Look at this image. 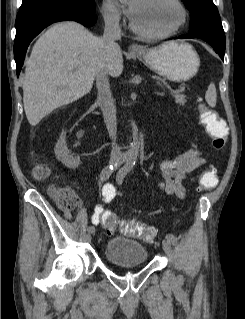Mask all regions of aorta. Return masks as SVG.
<instances>
[{"label":"aorta","instance_id":"762f6f07","mask_svg":"<svg viewBox=\"0 0 245 319\" xmlns=\"http://www.w3.org/2000/svg\"><path fill=\"white\" fill-rule=\"evenodd\" d=\"M131 127H132V137L133 141L130 144V148L126 151V158L129 161H135L138 157L139 150H140V140L138 138V127L136 122L131 120Z\"/></svg>","mask_w":245,"mask_h":319}]
</instances>
